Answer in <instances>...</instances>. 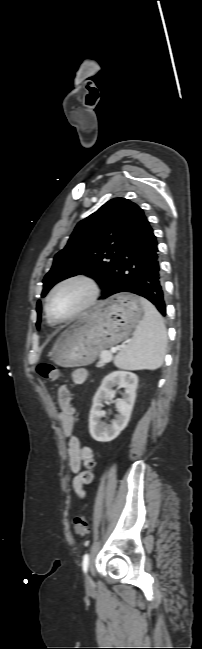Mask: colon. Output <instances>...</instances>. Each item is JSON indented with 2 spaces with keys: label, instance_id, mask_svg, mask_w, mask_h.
<instances>
[{
  "label": "colon",
  "instance_id": "obj_1",
  "mask_svg": "<svg viewBox=\"0 0 202 649\" xmlns=\"http://www.w3.org/2000/svg\"><path fill=\"white\" fill-rule=\"evenodd\" d=\"M39 375L47 381H56L60 376L59 369L50 363H41L37 367ZM88 531V522L86 516L81 514L74 519V532L77 536H82Z\"/></svg>",
  "mask_w": 202,
  "mask_h": 649
}]
</instances>
